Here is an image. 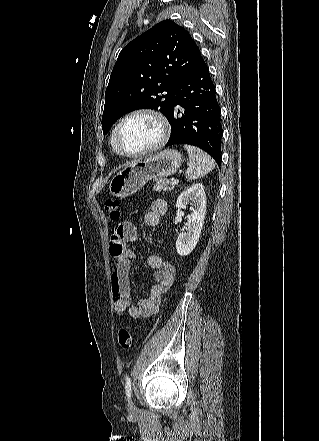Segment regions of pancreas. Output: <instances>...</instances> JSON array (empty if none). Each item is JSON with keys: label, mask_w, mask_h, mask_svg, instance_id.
<instances>
[{"label": "pancreas", "mask_w": 319, "mask_h": 441, "mask_svg": "<svg viewBox=\"0 0 319 441\" xmlns=\"http://www.w3.org/2000/svg\"><path fill=\"white\" fill-rule=\"evenodd\" d=\"M153 189L156 192H168L174 189V185L168 179H156Z\"/></svg>", "instance_id": "1"}]
</instances>
